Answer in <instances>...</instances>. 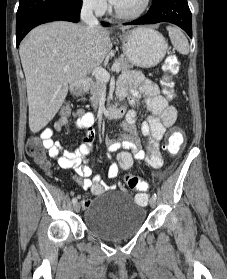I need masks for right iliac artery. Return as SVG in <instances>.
I'll use <instances>...</instances> for the list:
<instances>
[{
	"mask_svg": "<svg viewBox=\"0 0 227 279\" xmlns=\"http://www.w3.org/2000/svg\"><path fill=\"white\" fill-rule=\"evenodd\" d=\"M72 203H73V204L77 203V199H76V198H73V199H72Z\"/></svg>",
	"mask_w": 227,
	"mask_h": 279,
	"instance_id": "1",
	"label": "right iliac artery"
}]
</instances>
